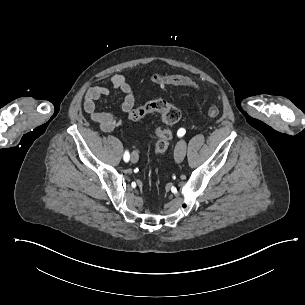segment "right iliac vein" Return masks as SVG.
Masks as SVG:
<instances>
[{
	"instance_id": "1",
	"label": "right iliac vein",
	"mask_w": 305,
	"mask_h": 305,
	"mask_svg": "<svg viewBox=\"0 0 305 305\" xmlns=\"http://www.w3.org/2000/svg\"><path fill=\"white\" fill-rule=\"evenodd\" d=\"M131 162L132 163H137L138 162V155H137V153L135 151H133L131 153Z\"/></svg>"
}]
</instances>
